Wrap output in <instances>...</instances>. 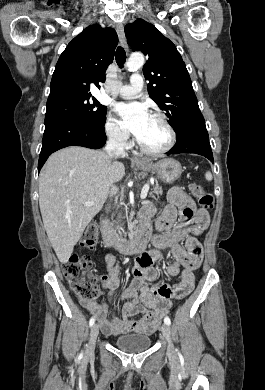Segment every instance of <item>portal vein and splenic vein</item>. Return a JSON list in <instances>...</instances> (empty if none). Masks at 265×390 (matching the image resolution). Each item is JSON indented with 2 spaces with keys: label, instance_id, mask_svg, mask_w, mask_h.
I'll return each instance as SVG.
<instances>
[{
  "label": "portal vein and splenic vein",
  "instance_id": "1",
  "mask_svg": "<svg viewBox=\"0 0 265 390\" xmlns=\"http://www.w3.org/2000/svg\"><path fill=\"white\" fill-rule=\"evenodd\" d=\"M149 188H150L149 184H145V185L143 186V188H142V190H141V195H140L141 199H146L147 193H148V191H149ZM93 204H94L93 202H86V203H85L86 206H91V205H93Z\"/></svg>",
  "mask_w": 265,
  "mask_h": 390
}]
</instances>
